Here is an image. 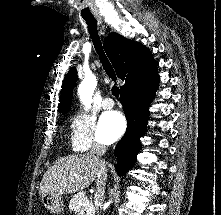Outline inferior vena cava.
<instances>
[{
  "mask_svg": "<svg viewBox=\"0 0 221 215\" xmlns=\"http://www.w3.org/2000/svg\"><path fill=\"white\" fill-rule=\"evenodd\" d=\"M106 150H107V147L105 144H101L100 142H94L91 150L89 151V154L100 159L105 154ZM100 162H101V169H100V175L98 176V179L96 181L95 195L100 200H103L104 193H105V190H104L105 179H104L103 172H104L105 168H104V161L100 160Z\"/></svg>",
  "mask_w": 221,
  "mask_h": 215,
  "instance_id": "602c4592",
  "label": "inferior vena cava"
}]
</instances>
